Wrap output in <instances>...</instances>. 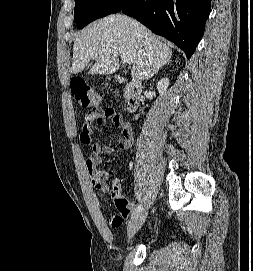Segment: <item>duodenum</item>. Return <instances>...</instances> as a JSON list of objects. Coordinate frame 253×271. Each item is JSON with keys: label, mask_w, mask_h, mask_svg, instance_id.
<instances>
[{"label": "duodenum", "mask_w": 253, "mask_h": 271, "mask_svg": "<svg viewBox=\"0 0 253 271\" xmlns=\"http://www.w3.org/2000/svg\"><path fill=\"white\" fill-rule=\"evenodd\" d=\"M125 86V103L129 113L134 112L140 104V96L142 92V83L139 80L127 82L124 78L119 79Z\"/></svg>", "instance_id": "duodenum-1"}]
</instances>
